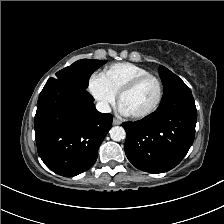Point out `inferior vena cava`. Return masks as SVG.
Instances as JSON below:
<instances>
[{"label":"inferior vena cava","mask_w":224,"mask_h":224,"mask_svg":"<svg viewBox=\"0 0 224 224\" xmlns=\"http://www.w3.org/2000/svg\"><path fill=\"white\" fill-rule=\"evenodd\" d=\"M96 109L101 113L111 112V108L107 102L100 101L96 104Z\"/></svg>","instance_id":"602c4592"}]
</instances>
